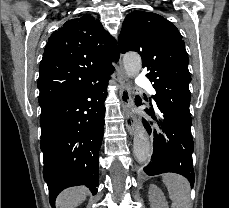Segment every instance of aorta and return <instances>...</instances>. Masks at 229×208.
Instances as JSON below:
<instances>
[{
  "label": "aorta",
  "mask_w": 229,
  "mask_h": 208,
  "mask_svg": "<svg viewBox=\"0 0 229 208\" xmlns=\"http://www.w3.org/2000/svg\"><path fill=\"white\" fill-rule=\"evenodd\" d=\"M124 69L128 77H135L141 70V58L136 53L126 54L123 57ZM133 153L139 163L150 158V143L141 125H137V132L133 141Z\"/></svg>",
  "instance_id": "1"
}]
</instances>
